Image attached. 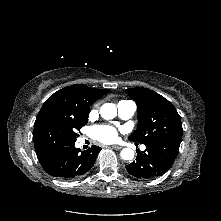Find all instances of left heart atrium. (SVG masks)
I'll list each match as a JSON object with an SVG mask.
<instances>
[{"label": "left heart atrium", "instance_id": "39dd6f15", "mask_svg": "<svg viewBox=\"0 0 221 221\" xmlns=\"http://www.w3.org/2000/svg\"><path fill=\"white\" fill-rule=\"evenodd\" d=\"M94 137L104 143L113 142L117 138V130L108 125H100L93 128Z\"/></svg>", "mask_w": 221, "mask_h": 221}]
</instances>
